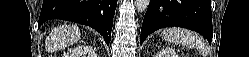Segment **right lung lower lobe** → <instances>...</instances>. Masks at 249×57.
Wrapping results in <instances>:
<instances>
[{"mask_svg": "<svg viewBox=\"0 0 249 57\" xmlns=\"http://www.w3.org/2000/svg\"><path fill=\"white\" fill-rule=\"evenodd\" d=\"M117 0H44L38 27L52 19L88 25L110 43Z\"/></svg>", "mask_w": 249, "mask_h": 57, "instance_id": "1", "label": "right lung lower lobe"}]
</instances>
